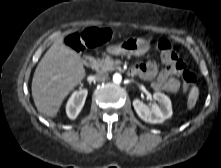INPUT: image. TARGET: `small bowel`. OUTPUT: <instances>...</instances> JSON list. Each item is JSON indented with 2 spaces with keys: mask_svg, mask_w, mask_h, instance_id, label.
I'll return each mask as SVG.
<instances>
[{
  "mask_svg": "<svg viewBox=\"0 0 221 168\" xmlns=\"http://www.w3.org/2000/svg\"><path fill=\"white\" fill-rule=\"evenodd\" d=\"M167 65L159 71L156 62L149 60L133 67L134 73L151 82V86L158 91L176 92L180 87L178 77L185 73L184 62L175 52L162 55Z\"/></svg>",
  "mask_w": 221,
  "mask_h": 168,
  "instance_id": "1",
  "label": "small bowel"
}]
</instances>
